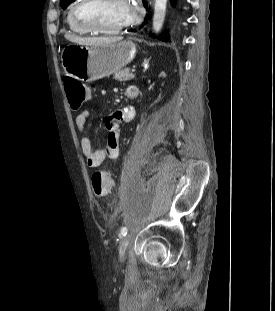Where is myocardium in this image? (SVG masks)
<instances>
[{"instance_id": "myocardium-1", "label": "myocardium", "mask_w": 275, "mask_h": 311, "mask_svg": "<svg viewBox=\"0 0 275 311\" xmlns=\"http://www.w3.org/2000/svg\"><path fill=\"white\" fill-rule=\"evenodd\" d=\"M105 0H78V2L71 8V18L74 23L83 27L92 33L103 34V35H115L123 31L127 24L113 28V29H105L98 26L96 23L91 21L88 18H85L81 15V12L91 5L101 3Z\"/></svg>"}]
</instances>
